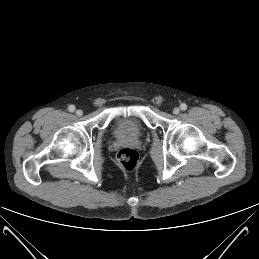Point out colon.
Wrapping results in <instances>:
<instances>
[{
  "instance_id": "obj_1",
  "label": "colon",
  "mask_w": 259,
  "mask_h": 259,
  "mask_svg": "<svg viewBox=\"0 0 259 259\" xmlns=\"http://www.w3.org/2000/svg\"><path fill=\"white\" fill-rule=\"evenodd\" d=\"M117 161L124 170H133L138 161V153L134 149L123 148L117 154Z\"/></svg>"
}]
</instances>
